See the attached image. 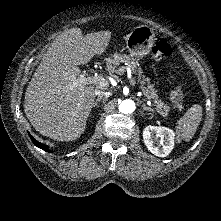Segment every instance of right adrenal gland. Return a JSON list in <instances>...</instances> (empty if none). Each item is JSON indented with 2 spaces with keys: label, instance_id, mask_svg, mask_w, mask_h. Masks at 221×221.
I'll return each instance as SVG.
<instances>
[{
  "label": "right adrenal gland",
  "instance_id": "1",
  "mask_svg": "<svg viewBox=\"0 0 221 221\" xmlns=\"http://www.w3.org/2000/svg\"><path fill=\"white\" fill-rule=\"evenodd\" d=\"M101 101V98H98L94 103H93V107H95L97 104H98V102H100Z\"/></svg>",
  "mask_w": 221,
  "mask_h": 221
}]
</instances>
